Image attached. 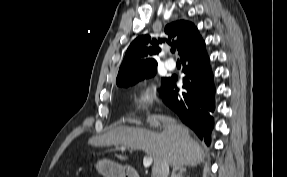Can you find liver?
I'll return each mask as SVG.
<instances>
[{
    "label": "liver",
    "instance_id": "6515ba94",
    "mask_svg": "<svg viewBox=\"0 0 287 177\" xmlns=\"http://www.w3.org/2000/svg\"><path fill=\"white\" fill-rule=\"evenodd\" d=\"M150 126H162V132L129 126L116 127L104 135L93 136L88 144L95 147L122 145L132 150H143L153 158L152 177L164 160L173 167L196 166L204 160L199 144L192 139L189 129L178 124L174 118L151 115L147 118ZM120 160L127 156L117 155Z\"/></svg>",
    "mask_w": 287,
    "mask_h": 177
}]
</instances>
